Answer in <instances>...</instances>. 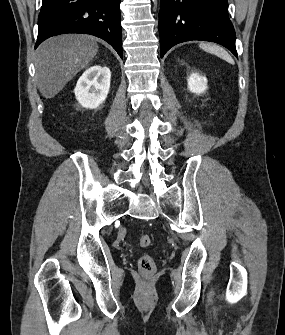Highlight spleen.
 Segmentation results:
<instances>
[{
    "instance_id": "spleen-1",
    "label": "spleen",
    "mask_w": 285,
    "mask_h": 335,
    "mask_svg": "<svg viewBox=\"0 0 285 335\" xmlns=\"http://www.w3.org/2000/svg\"><path fill=\"white\" fill-rule=\"evenodd\" d=\"M200 48H202L204 52H209V54L219 56L222 60H226L228 64H234V60H232L231 56L225 52L224 48H220V46H214V44H200Z\"/></svg>"
}]
</instances>
